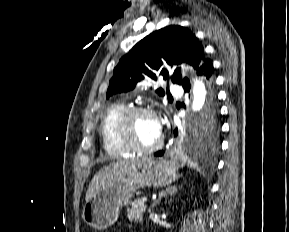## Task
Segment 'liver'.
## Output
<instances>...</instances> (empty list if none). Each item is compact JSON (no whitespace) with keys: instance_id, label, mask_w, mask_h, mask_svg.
Segmentation results:
<instances>
[{"instance_id":"liver-1","label":"liver","mask_w":289,"mask_h":232,"mask_svg":"<svg viewBox=\"0 0 289 232\" xmlns=\"http://www.w3.org/2000/svg\"><path fill=\"white\" fill-rule=\"evenodd\" d=\"M148 160L147 159H130L112 163L104 167L92 178L86 192V202L95 194L105 190L115 181L121 179L132 172L140 169Z\"/></svg>"}]
</instances>
